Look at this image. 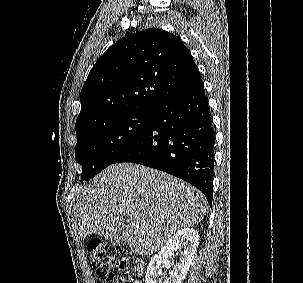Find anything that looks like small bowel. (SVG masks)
I'll return each instance as SVG.
<instances>
[{"mask_svg":"<svg viewBox=\"0 0 303 283\" xmlns=\"http://www.w3.org/2000/svg\"><path fill=\"white\" fill-rule=\"evenodd\" d=\"M142 268L140 267V265L135 266L133 269V272L137 275H139L141 273ZM117 278L121 281H124L125 279L122 276L117 275ZM134 283H140V281H135Z\"/></svg>","mask_w":303,"mask_h":283,"instance_id":"c3829d8e","label":"small bowel"}]
</instances>
